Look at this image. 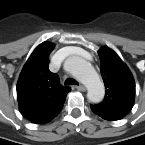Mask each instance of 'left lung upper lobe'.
I'll list each match as a JSON object with an SVG mask.
<instances>
[{
    "label": "left lung upper lobe",
    "mask_w": 145,
    "mask_h": 145,
    "mask_svg": "<svg viewBox=\"0 0 145 145\" xmlns=\"http://www.w3.org/2000/svg\"><path fill=\"white\" fill-rule=\"evenodd\" d=\"M101 74L105 84V99L91 105L92 111L105 120H119L132 109L135 99V82L132 73L110 48L99 50Z\"/></svg>",
    "instance_id": "obj_1"
}]
</instances>
